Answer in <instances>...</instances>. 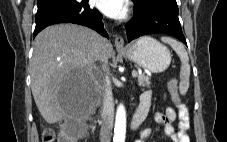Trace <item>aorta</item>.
I'll return each mask as SVG.
<instances>
[{
    "label": "aorta",
    "instance_id": "762f6f07",
    "mask_svg": "<svg viewBox=\"0 0 227 142\" xmlns=\"http://www.w3.org/2000/svg\"><path fill=\"white\" fill-rule=\"evenodd\" d=\"M126 135V110L123 104L117 107L114 127V142H124Z\"/></svg>",
    "mask_w": 227,
    "mask_h": 142
}]
</instances>
